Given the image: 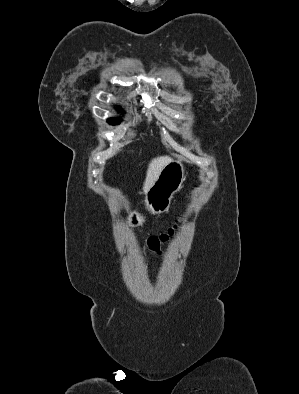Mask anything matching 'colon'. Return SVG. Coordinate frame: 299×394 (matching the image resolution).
Segmentation results:
<instances>
[{
    "mask_svg": "<svg viewBox=\"0 0 299 394\" xmlns=\"http://www.w3.org/2000/svg\"><path fill=\"white\" fill-rule=\"evenodd\" d=\"M178 222L179 220L176 221L172 226H170L168 229L165 231L151 235L147 238L145 242V246L147 249L159 253L161 246L165 244L166 242L169 241V239L175 234L178 228Z\"/></svg>",
    "mask_w": 299,
    "mask_h": 394,
    "instance_id": "obj_1",
    "label": "colon"
}]
</instances>
